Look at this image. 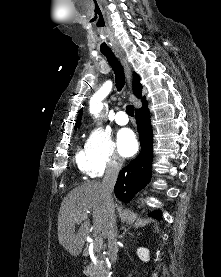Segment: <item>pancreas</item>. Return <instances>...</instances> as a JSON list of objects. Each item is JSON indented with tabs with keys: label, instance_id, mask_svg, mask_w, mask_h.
Instances as JSON below:
<instances>
[{
	"label": "pancreas",
	"instance_id": "1",
	"mask_svg": "<svg viewBox=\"0 0 221 277\" xmlns=\"http://www.w3.org/2000/svg\"><path fill=\"white\" fill-rule=\"evenodd\" d=\"M94 250L99 252L100 248L95 247ZM84 271L89 277H108L109 274L106 264L101 263L99 259L95 263L91 262Z\"/></svg>",
	"mask_w": 221,
	"mask_h": 277
}]
</instances>
